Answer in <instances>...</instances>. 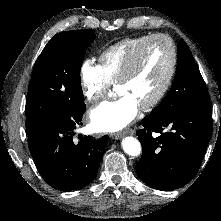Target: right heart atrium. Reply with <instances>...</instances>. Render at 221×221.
<instances>
[{"label":"right heart atrium","instance_id":"1","mask_svg":"<svg viewBox=\"0 0 221 221\" xmlns=\"http://www.w3.org/2000/svg\"><path fill=\"white\" fill-rule=\"evenodd\" d=\"M80 83L82 93L90 103L103 99L112 85L101 66L91 59H86L81 65Z\"/></svg>","mask_w":221,"mask_h":221}]
</instances>
